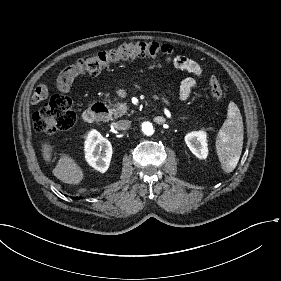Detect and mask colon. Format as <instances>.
<instances>
[{
    "label": "colon",
    "mask_w": 281,
    "mask_h": 281,
    "mask_svg": "<svg viewBox=\"0 0 281 281\" xmlns=\"http://www.w3.org/2000/svg\"><path fill=\"white\" fill-rule=\"evenodd\" d=\"M173 52L168 45L155 42L124 43L115 49L98 52L79 59L74 65L78 75H96L110 66L139 57L158 58ZM210 89L217 99L224 96L223 88L217 78H210ZM76 115L67 96L54 95L34 115L33 121L37 131L48 135L69 131L75 124Z\"/></svg>",
    "instance_id": "5ec220e1"
}]
</instances>
